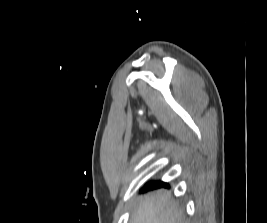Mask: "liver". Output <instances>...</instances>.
I'll return each mask as SVG.
<instances>
[{"mask_svg": "<svg viewBox=\"0 0 267 223\" xmlns=\"http://www.w3.org/2000/svg\"><path fill=\"white\" fill-rule=\"evenodd\" d=\"M131 223H187L184 211L169 192L147 194L135 209Z\"/></svg>", "mask_w": 267, "mask_h": 223, "instance_id": "1", "label": "liver"}]
</instances>
